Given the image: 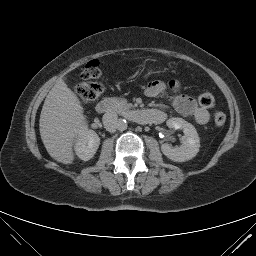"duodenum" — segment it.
I'll use <instances>...</instances> for the list:
<instances>
[{
  "label": "duodenum",
  "instance_id": "duodenum-1",
  "mask_svg": "<svg viewBox=\"0 0 256 256\" xmlns=\"http://www.w3.org/2000/svg\"><path fill=\"white\" fill-rule=\"evenodd\" d=\"M115 101L110 98L103 99L96 105L98 113H108L115 109ZM129 117L139 124L157 123L161 115L152 109H137L129 112Z\"/></svg>",
  "mask_w": 256,
  "mask_h": 256
}]
</instances>
